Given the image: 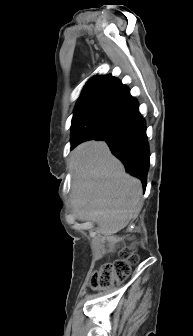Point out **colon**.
I'll return each instance as SVG.
<instances>
[{
    "label": "colon",
    "mask_w": 193,
    "mask_h": 336,
    "mask_svg": "<svg viewBox=\"0 0 193 336\" xmlns=\"http://www.w3.org/2000/svg\"><path fill=\"white\" fill-rule=\"evenodd\" d=\"M138 260L135 251L132 248H124L119 254V258L112 262L103 264L97 269L90 281L93 290H105L116 283L127 278L131 267Z\"/></svg>",
    "instance_id": "colon-1"
}]
</instances>
